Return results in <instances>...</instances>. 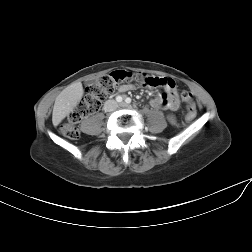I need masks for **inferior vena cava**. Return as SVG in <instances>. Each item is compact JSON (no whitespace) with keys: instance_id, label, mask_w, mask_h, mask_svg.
I'll return each mask as SVG.
<instances>
[{"instance_id":"602c4592","label":"inferior vena cava","mask_w":252,"mask_h":252,"mask_svg":"<svg viewBox=\"0 0 252 252\" xmlns=\"http://www.w3.org/2000/svg\"><path fill=\"white\" fill-rule=\"evenodd\" d=\"M118 107V104L115 100H107L104 104L105 111H114Z\"/></svg>"}]
</instances>
